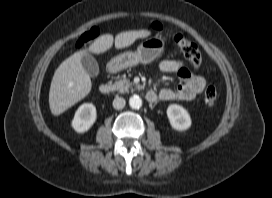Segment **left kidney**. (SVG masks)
I'll return each instance as SVG.
<instances>
[{"instance_id":"obj_1","label":"left kidney","mask_w":272,"mask_h":198,"mask_svg":"<svg viewBox=\"0 0 272 198\" xmlns=\"http://www.w3.org/2000/svg\"><path fill=\"white\" fill-rule=\"evenodd\" d=\"M166 113L173 129L184 131L191 126L190 114L182 106L171 104L168 106Z\"/></svg>"}]
</instances>
